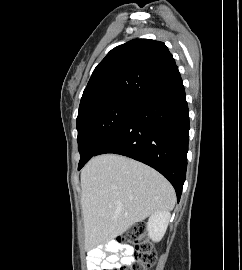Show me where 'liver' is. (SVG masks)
Instances as JSON below:
<instances>
[{
  "instance_id": "liver-1",
  "label": "liver",
  "mask_w": 242,
  "mask_h": 270,
  "mask_svg": "<svg viewBox=\"0 0 242 270\" xmlns=\"http://www.w3.org/2000/svg\"><path fill=\"white\" fill-rule=\"evenodd\" d=\"M81 188L87 247L115 239L155 212H169L176 202L157 171L115 154L92 158L81 171Z\"/></svg>"
}]
</instances>
